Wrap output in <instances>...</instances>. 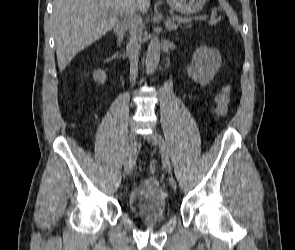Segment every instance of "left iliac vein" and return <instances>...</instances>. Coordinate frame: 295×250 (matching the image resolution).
Returning <instances> with one entry per match:
<instances>
[{"mask_svg": "<svg viewBox=\"0 0 295 250\" xmlns=\"http://www.w3.org/2000/svg\"><path fill=\"white\" fill-rule=\"evenodd\" d=\"M145 139L147 140L148 143H150L151 145L157 147L158 146V141H157V136L155 132L149 133L145 135ZM166 159L169 160V156H168V152L166 155ZM169 183L172 189H176L177 183L176 180L174 179V177H170L169 179Z\"/></svg>", "mask_w": 295, "mask_h": 250, "instance_id": "1", "label": "left iliac vein"}]
</instances>
